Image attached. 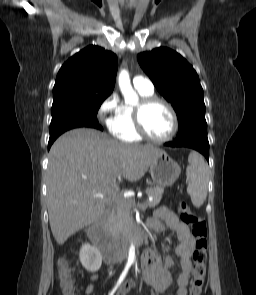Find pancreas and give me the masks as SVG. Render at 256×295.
Listing matches in <instances>:
<instances>
[{"instance_id": "cf45deb5", "label": "pancreas", "mask_w": 256, "mask_h": 295, "mask_svg": "<svg viewBox=\"0 0 256 295\" xmlns=\"http://www.w3.org/2000/svg\"><path fill=\"white\" fill-rule=\"evenodd\" d=\"M164 192L163 186L150 187L146 189V193L152 196V201H145L139 203L138 206L142 209L153 208L159 204L162 194ZM135 202L132 200L122 199L115 204L114 210L108 218V231L114 238H119L123 233L130 229L132 223V208Z\"/></svg>"}]
</instances>
